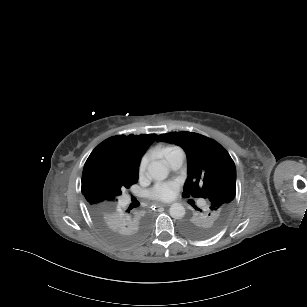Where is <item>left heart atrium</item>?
<instances>
[{
    "mask_svg": "<svg viewBox=\"0 0 307 307\" xmlns=\"http://www.w3.org/2000/svg\"><path fill=\"white\" fill-rule=\"evenodd\" d=\"M151 195L158 199H168L173 195V188L169 184H162L154 188Z\"/></svg>",
    "mask_w": 307,
    "mask_h": 307,
    "instance_id": "1",
    "label": "left heart atrium"
}]
</instances>
